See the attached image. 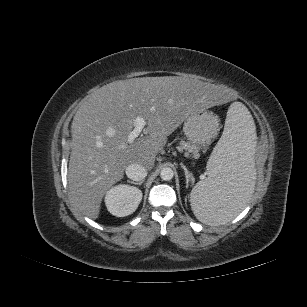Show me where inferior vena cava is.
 Here are the masks:
<instances>
[{
    "mask_svg": "<svg viewBox=\"0 0 307 307\" xmlns=\"http://www.w3.org/2000/svg\"><path fill=\"white\" fill-rule=\"evenodd\" d=\"M126 175L133 181H142L147 176V170L140 164L133 163L126 167Z\"/></svg>",
    "mask_w": 307,
    "mask_h": 307,
    "instance_id": "602c4592",
    "label": "inferior vena cava"
}]
</instances>
